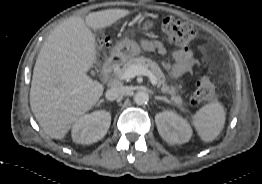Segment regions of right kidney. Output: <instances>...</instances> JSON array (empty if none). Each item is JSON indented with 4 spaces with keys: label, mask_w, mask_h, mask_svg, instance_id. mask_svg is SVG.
<instances>
[{
    "label": "right kidney",
    "mask_w": 262,
    "mask_h": 184,
    "mask_svg": "<svg viewBox=\"0 0 262 184\" xmlns=\"http://www.w3.org/2000/svg\"><path fill=\"white\" fill-rule=\"evenodd\" d=\"M110 124L111 115L105 110L83 115L72 127V139L78 144H92L106 135Z\"/></svg>",
    "instance_id": "ca27d5eb"
}]
</instances>
